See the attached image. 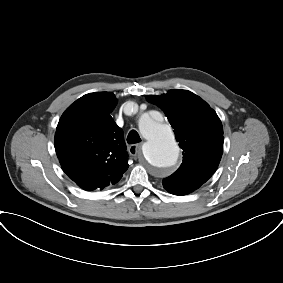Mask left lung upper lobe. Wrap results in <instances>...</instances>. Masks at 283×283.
Instances as JSON below:
<instances>
[{"mask_svg": "<svg viewBox=\"0 0 283 283\" xmlns=\"http://www.w3.org/2000/svg\"><path fill=\"white\" fill-rule=\"evenodd\" d=\"M147 99L166 114L180 148L181 166L163 180L170 192H192L215 172L223 152V128L214 110L199 96L185 90H170Z\"/></svg>", "mask_w": 283, "mask_h": 283, "instance_id": "obj_1", "label": "left lung upper lobe"}]
</instances>
